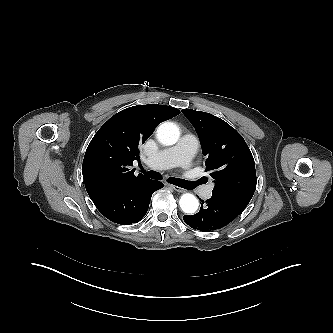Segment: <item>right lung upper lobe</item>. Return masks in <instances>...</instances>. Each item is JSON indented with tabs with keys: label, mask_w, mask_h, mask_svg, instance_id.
Here are the masks:
<instances>
[{
	"label": "right lung upper lobe",
	"mask_w": 333,
	"mask_h": 333,
	"mask_svg": "<svg viewBox=\"0 0 333 333\" xmlns=\"http://www.w3.org/2000/svg\"><path fill=\"white\" fill-rule=\"evenodd\" d=\"M176 108L147 104L132 106L112 116L94 135L87 147L82 174L93 203L101 202L148 178L134 175V160L140 146L156 126L178 115Z\"/></svg>",
	"instance_id": "1"
}]
</instances>
